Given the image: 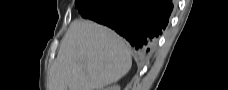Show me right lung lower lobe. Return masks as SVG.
<instances>
[{
	"label": "right lung lower lobe",
	"instance_id": "98d812e1",
	"mask_svg": "<svg viewBox=\"0 0 228 90\" xmlns=\"http://www.w3.org/2000/svg\"><path fill=\"white\" fill-rule=\"evenodd\" d=\"M93 13L83 15L124 37L139 58L151 54L166 28L173 9L171 0H104Z\"/></svg>",
	"mask_w": 228,
	"mask_h": 90
}]
</instances>
